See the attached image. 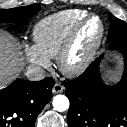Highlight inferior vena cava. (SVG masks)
<instances>
[{"mask_svg": "<svg viewBox=\"0 0 127 127\" xmlns=\"http://www.w3.org/2000/svg\"><path fill=\"white\" fill-rule=\"evenodd\" d=\"M26 76L31 81H40L46 77V72L40 67H29Z\"/></svg>", "mask_w": 127, "mask_h": 127, "instance_id": "1", "label": "inferior vena cava"}]
</instances>
